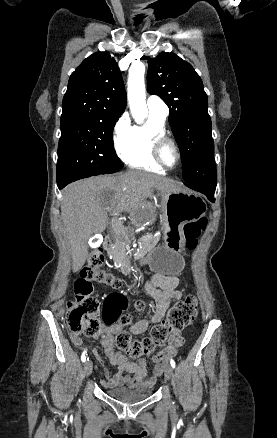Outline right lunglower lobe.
<instances>
[{"mask_svg":"<svg viewBox=\"0 0 277 438\" xmlns=\"http://www.w3.org/2000/svg\"><path fill=\"white\" fill-rule=\"evenodd\" d=\"M67 184V182L57 183L59 189L64 188Z\"/></svg>","mask_w":277,"mask_h":438,"instance_id":"obj_1","label":"right lung lower lobe"}]
</instances>
